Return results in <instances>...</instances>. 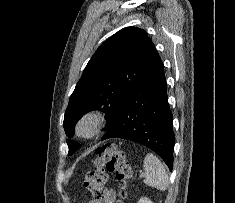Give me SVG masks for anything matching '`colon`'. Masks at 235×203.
I'll list each match as a JSON object with an SVG mask.
<instances>
[{"label":"colon","instance_id":"obj_1","mask_svg":"<svg viewBox=\"0 0 235 203\" xmlns=\"http://www.w3.org/2000/svg\"><path fill=\"white\" fill-rule=\"evenodd\" d=\"M94 166L84 177V186L95 199L104 197L107 192L108 174L114 173L121 188V197L132 177V168L125 153L114 144H104L95 151Z\"/></svg>","mask_w":235,"mask_h":203}]
</instances>
